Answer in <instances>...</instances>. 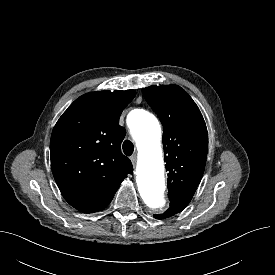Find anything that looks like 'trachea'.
<instances>
[{"mask_svg":"<svg viewBox=\"0 0 275 275\" xmlns=\"http://www.w3.org/2000/svg\"><path fill=\"white\" fill-rule=\"evenodd\" d=\"M122 148H123L124 154L127 156H131L134 151V145L129 140L124 141Z\"/></svg>","mask_w":275,"mask_h":275,"instance_id":"3493384b","label":"trachea"}]
</instances>
